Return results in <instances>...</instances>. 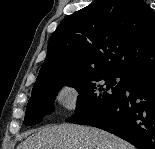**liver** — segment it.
I'll list each match as a JSON object with an SVG mask.
<instances>
[{
	"mask_svg": "<svg viewBox=\"0 0 155 149\" xmlns=\"http://www.w3.org/2000/svg\"><path fill=\"white\" fill-rule=\"evenodd\" d=\"M17 149H135L100 129L75 124L47 126L30 135Z\"/></svg>",
	"mask_w": 155,
	"mask_h": 149,
	"instance_id": "6515ba94",
	"label": "liver"
}]
</instances>
